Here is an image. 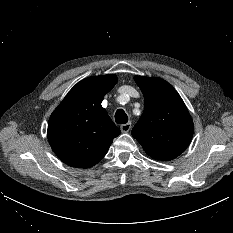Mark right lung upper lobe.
Segmentation results:
<instances>
[{
  "mask_svg": "<svg viewBox=\"0 0 233 233\" xmlns=\"http://www.w3.org/2000/svg\"><path fill=\"white\" fill-rule=\"evenodd\" d=\"M116 83L115 75L83 79L51 114L48 140L56 155L67 165L78 168L94 166L120 134V129L101 106L104 95Z\"/></svg>",
  "mask_w": 233,
  "mask_h": 233,
  "instance_id": "obj_1",
  "label": "right lung upper lobe"
}]
</instances>
